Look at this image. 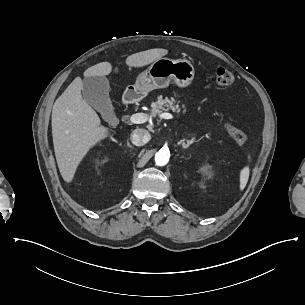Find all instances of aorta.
I'll use <instances>...</instances> for the list:
<instances>
[{
  "instance_id": "aorta-1",
  "label": "aorta",
  "mask_w": 305,
  "mask_h": 305,
  "mask_svg": "<svg viewBox=\"0 0 305 305\" xmlns=\"http://www.w3.org/2000/svg\"><path fill=\"white\" fill-rule=\"evenodd\" d=\"M170 153L166 150H159L155 155V163L158 166H164L169 162Z\"/></svg>"
}]
</instances>
